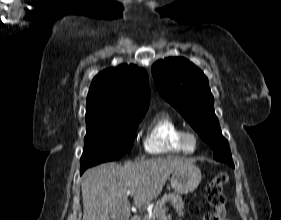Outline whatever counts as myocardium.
<instances>
[{
  "instance_id": "obj_1",
  "label": "myocardium",
  "mask_w": 281,
  "mask_h": 220,
  "mask_svg": "<svg viewBox=\"0 0 281 220\" xmlns=\"http://www.w3.org/2000/svg\"><path fill=\"white\" fill-rule=\"evenodd\" d=\"M182 147L187 153H194L198 149L199 138L192 130H182L180 135Z\"/></svg>"
}]
</instances>
